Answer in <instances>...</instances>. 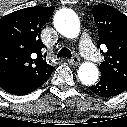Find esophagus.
I'll return each instance as SVG.
<instances>
[{
  "mask_svg": "<svg viewBox=\"0 0 127 127\" xmlns=\"http://www.w3.org/2000/svg\"><path fill=\"white\" fill-rule=\"evenodd\" d=\"M70 65H77L80 61L78 56H73L72 58L67 60Z\"/></svg>",
  "mask_w": 127,
  "mask_h": 127,
  "instance_id": "1",
  "label": "esophagus"
}]
</instances>
